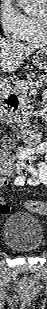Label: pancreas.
<instances>
[{
  "label": "pancreas",
  "mask_w": 47,
  "mask_h": 309,
  "mask_svg": "<svg viewBox=\"0 0 47 309\" xmlns=\"http://www.w3.org/2000/svg\"><path fill=\"white\" fill-rule=\"evenodd\" d=\"M39 80L46 83L47 82V76L46 75H40L39 76ZM18 82H25V83H31V79L26 80H19L14 82V86L12 87V90L14 92H16L17 94H20L21 97L24 99V101H27V91L28 88H24V87H18L17 83ZM29 108L28 106L25 104L21 107L20 110H18L15 114H14V121L21 127H25V126H29V117L31 115V112L28 111Z\"/></svg>",
  "instance_id": "1"
}]
</instances>
